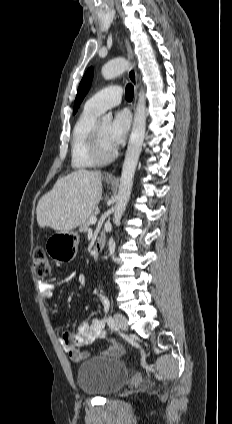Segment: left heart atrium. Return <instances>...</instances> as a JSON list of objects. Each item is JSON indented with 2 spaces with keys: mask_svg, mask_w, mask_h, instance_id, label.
Here are the masks:
<instances>
[{
  "mask_svg": "<svg viewBox=\"0 0 232 424\" xmlns=\"http://www.w3.org/2000/svg\"><path fill=\"white\" fill-rule=\"evenodd\" d=\"M130 122L128 112L120 111L110 123L108 132L109 140L115 148L125 140L130 128Z\"/></svg>",
  "mask_w": 232,
  "mask_h": 424,
  "instance_id": "39dd6f15",
  "label": "left heart atrium"
}]
</instances>
